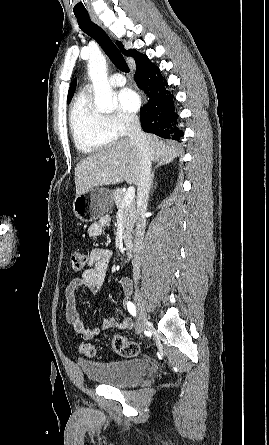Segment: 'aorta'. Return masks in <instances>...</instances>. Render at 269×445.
I'll return each mask as SVG.
<instances>
[{"instance_id": "aorta-1", "label": "aorta", "mask_w": 269, "mask_h": 445, "mask_svg": "<svg viewBox=\"0 0 269 445\" xmlns=\"http://www.w3.org/2000/svg\"><path fill=\"white\" fill-rule=\"evenodd\" d=\"M88 72L94 87L95 108L100 112H112L118 103L108 83L106 59L102 54L90 57Z\"/></svg>"}]
</instances>
